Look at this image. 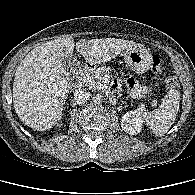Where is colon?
<instances>
[{"label": "colon", "mask_w": 195, "mask_h": 195, "mask_svg": "<svg viewBox=\"0 0 195 195\" xmlns=\"http://www.w3.org/2000/svg\"><path fill=\"white\" fill-rule=\"evenodd\" d=\"M165 65L163 60L159 56H154L152 60V71L155 74H160L164 71ZM166 86L169 89H177L179 86V82L176 77L168 76L165 79Z\"/></svg>", "instance_id": "5ec220e1"}]
</instances>
